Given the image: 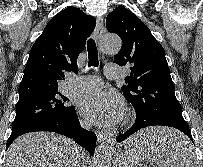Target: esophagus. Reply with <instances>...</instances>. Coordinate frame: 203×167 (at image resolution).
Returning <instances> with one entry per match:
<instances>
[{
    "mask_svg": "<svg viewBox=\"0 0 203 167\" xmlns=\"http://www.w3.org/2000/svg\"><path fill=\"white\" fill-rule=\"evenodd\" d=\"M97 25H96V29H95V38L96 40L99 42L102 38L103 35V20L100 17H97ZM107 134L103 133V132H99L97 134V140L98 142H103L106 138H107Z\"/></svg>",
    "mask_w": 203,
    "mask_h": 167,
    "instance_id": "34e87169",
    "label": "esophagus"
}]
</instances>
